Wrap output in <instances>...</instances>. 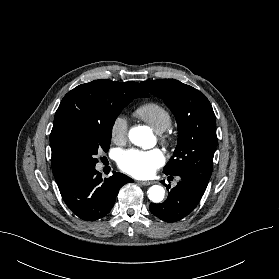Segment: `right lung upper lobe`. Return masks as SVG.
<instances>
[{"label": "right lung upper lobe", "instance_id": "right-lung-upper-lobe-1", "mask_svg": "<svg viewBox=\"0 0 279 279\" xmlns=\"http://www.w3.org/2000/svg\"><path fill=\"white\" fill-rule=\"evenodd\" d=\"M119 96L148 97L136 82L95 80L75 87L62 99L50 134L52 171L60 189L79 171L74 157L75 136L100 121L105 105Z\"/></svg>", "mask_w": 279, "mask_h": 279}]
</instances>
